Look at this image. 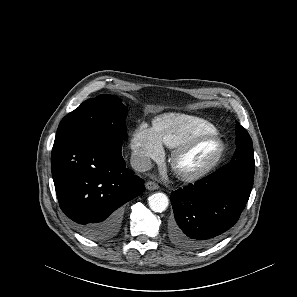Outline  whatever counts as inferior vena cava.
Segmentation results:
<instances>
[{"label":"inferior vena cava","mask_w":297,"mask_h":297,"mask_svg":"<svg viewBox=\"0 0 297 297\" xmlns=\"http://www.w3.org/2000/svg\"><path fill=\"white\" fill-rule=\"evenodd\" d=\"M131 167L138 172H145L152 168V162L145 156L132 155L130 159Z\"/></svg>","instance_id":"602c4592"}]
</instances>
